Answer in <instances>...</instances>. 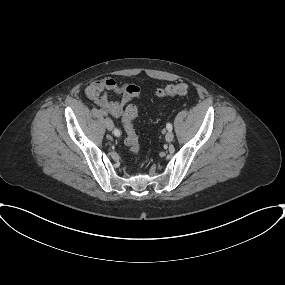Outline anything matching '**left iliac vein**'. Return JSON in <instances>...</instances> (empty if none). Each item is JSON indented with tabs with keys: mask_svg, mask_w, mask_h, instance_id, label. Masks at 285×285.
Here are the masks:
<instances>
[{
	"mask_svg": "<svg viewBox=\"0 0 285 285\" xmlns=\"http://www.w3.org/2000/svg\"><path fill=\"white\" fill-rule=\"evenodd\" d=\"M173 138H174L173 132L172 131H168L167 134L165 135V140L167 142H172Z\"/></svg>",
	"mask_w": 285,
	"mask_h": 285,
	"instance_id": "obj_1",
	"label": "left iliac vein"
}]
</instances>
